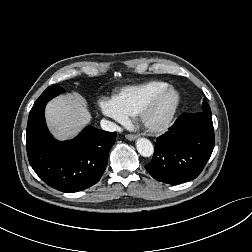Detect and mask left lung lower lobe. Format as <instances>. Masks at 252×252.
<instances>
[{
  "label": "left lung lower lobe",
  "instance_id": "0a47b994",
  "mask_svg": "<svg viewBox=\"0 0 252 252\" xmlns=\"http://www.w3.org/2000/svg\"><path fill=\"white\" fill-rule=\"evenodd\" d=\"M214 148L210 112L181 114L169 131L156 139L152 161L145 166L158 181L179 184L195 179Z\"/></svg>",
  "mask_w": 252,
  "mask_h": 252
}]
</instances>
